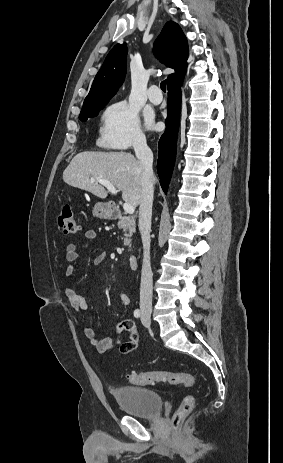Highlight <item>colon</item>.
<instances>
[{
  "mask_svg": "<svg viewBox=\"0 0 283 463\" xmlns=\"http://www.w3.org/2000/svg\"><path fill=\"white\" fill-rule=\"evenodd\" d=\"M58 225L63 233L73 234L77 231L76 219L69 204H64L58 215ZM126 349L123 348V352ZM127 379L136 385H149L153 383H169L189 387L193 384V376L188 373H177L168 370H157L147 372H131L127 374ZM194 407V398L191 395L183 397L177 411L173 416V427L176 433L184 419L191 413Z\"/></svg>",
  "mask_w": 283,
  "mask_h": 463,
  "instance_id": "1",
  "label": "colon"
}]
</instances>
